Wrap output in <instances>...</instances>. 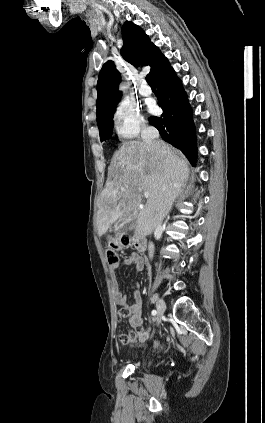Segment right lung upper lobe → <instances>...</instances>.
Instances as JSON below:
<instances>
[{"label":"right lung upper lobe","instance_id":"right-lung-upper-lobe-1","mask_svg":"<svg viewBox=\"0 0 265 423\" xmlns=\"http://www.w3.org/2000/svg\"><path fill=\"white\" fill-rule=\"evenodd\" d=\"M124 44L121 48L123 58L134 66L140 64L151 66L150 74L153 78L168 60L149 39L148 35L137 25L127 21L122 26ZM120 73L113 61L108 60L100 70L97 82V124L113 110L121 98L118 91Z\"/></svg>","mask_w":265,"mask_h":423}]
</instances>
